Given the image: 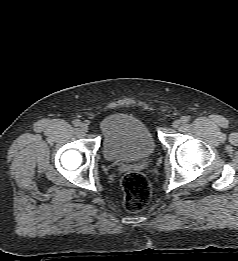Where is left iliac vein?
<instances>
[{
    "label": "left iliac vein",
    "instance_id": "1",
    "mask_svg": "<svg viewBox=\"0 0 238 261\" xmlns=\"http://www.w3.org/2000/svg\"><path fill=\"white\" fill-rule=\"evenodd\" d=\"M180 124H181V121H180V120H176V121H174V122L172 123V127H173V128H178V127L180 126Z\"/></svg>",
    "mask_w": 238,
    "mask_h": 261
}]
</instances>
